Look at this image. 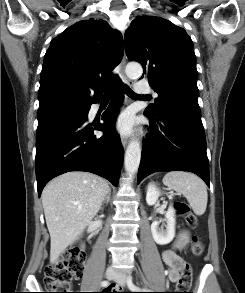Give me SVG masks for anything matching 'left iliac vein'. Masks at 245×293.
Masks as SVG:
<instances>
[{
    "label": "left iliac vein",
    "instance_id": "obj_1",
    "mask_svg": "<svg viewBox=\"0 0 245 293\" xmlns=\"http://www.w3.org/2000/svg\"><path fill=\"white\" fill-rule=\"evenodd\" d=\"M127 277L128 275H126L125 273H117L114 277V281L120 286H125Z\"/></svg>",
    "mask_w": 245,
    "mask_h": 293
}]
</instances>
